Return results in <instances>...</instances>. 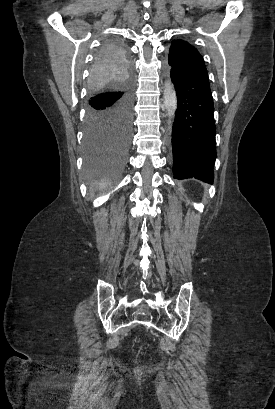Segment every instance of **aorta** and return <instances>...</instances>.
I'll return each mask as SVG.
<instances>
[{"instance_id": "762f6f07", "label": "aorta", "mask_w": 275, "mask_h": 409, "mask_svg": "<svg viewBox=\"0 0 275 409\" xmlns=\"http://www.w3.org/2000/svg\"><path fill=\"white\" fill-rule=\"evenodd\" d=\"M163 98H164V106L169 114V116H173L176 108H177V96L176 90H174L173 84L167 80L165 82V88L163 90Z\"/></svg>"}]
</instances>
